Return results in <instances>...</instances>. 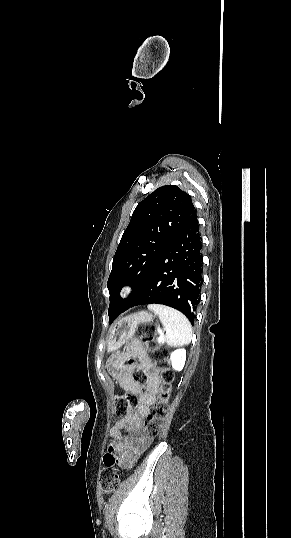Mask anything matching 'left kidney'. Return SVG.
<instances>
[{
  "label": "left kidney",
  "mask_w": 291,
  "mask_h": 538,
  "mask_svg": "<svg viewBox=\"0 0 291 538\" xmlns=\"http://www.w3.org/2000/svg\"><path fill=\"white\" fill-rule=\"evenodd\" d=\"M170 361L174 370L181 371L186 361V350L181 348L171 352Z\"/></svg>",
  "instance_id": "5707ae66"
}]
</instances>
